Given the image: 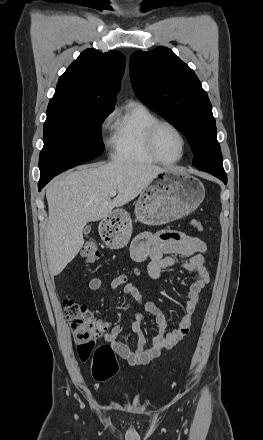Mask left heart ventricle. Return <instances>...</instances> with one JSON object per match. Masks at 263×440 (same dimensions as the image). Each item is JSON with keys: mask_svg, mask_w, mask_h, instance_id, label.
Returning <instances> with one entry per match:
<instances>
[{"mask_svg": "<svg viewBox=\"0 0 263 440\" xmlns=\"http://www.w3.org/2000/svg\"><path fill=\"white\" fill-rule=\"evenodd\" d=\"M155 149L164 160H175L182 152L180 137L169 127L159 128L155 137Z\"/></svg>", "mask_w": 263, "mask_h": 440, "instance_id": "b2bd125f", "label": "left heart ventricle"}]
</instances>
